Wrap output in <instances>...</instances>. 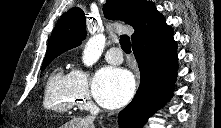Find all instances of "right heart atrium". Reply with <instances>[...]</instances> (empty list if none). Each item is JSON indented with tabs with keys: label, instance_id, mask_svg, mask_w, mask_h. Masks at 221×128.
<instances>
[{
	"label": "right heart atrium",
	"instance_id": "right-heart-atrium-1",
	"mask_svg": "<svg viewBox=\"0 0 221 128\" xmlns=\"http://www.w3.org/2000/svg\"><path fill=\"white\" fill-rule=\"evenodd\" d=\"M71 84L79 106L91 105L89 96V76L84 68L76 67L71 71Z\"/></svg>",
	"mask_w": 221,
	"mask_h": 128
}]
</instances>
